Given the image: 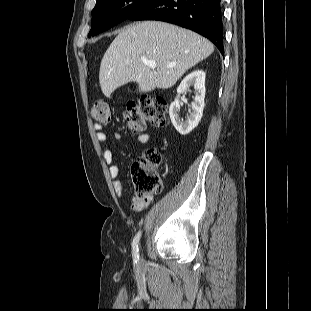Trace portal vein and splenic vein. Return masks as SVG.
Returning a JSON list of instances; mask_svg holds the SVG:
<instances>
[{"label":"portal vein and splenic vein","instance_id":"obj_1","mask_svg":"<svg viewBox=\"0 0 311 311\" xmlns=\"http://www.w3.org/2000/svg\"><path fill=\"white\" fill-rule=\"evenodd\" d=\"M143 63L147 66H149L150 68L152 69H155L156 68V62L155 61H150V60H147V59H142ZM171 67H174L173 64H170L167 66V68H171Z\"/></svg>","mask_w":311,"mask_h":311}]
</instances>
